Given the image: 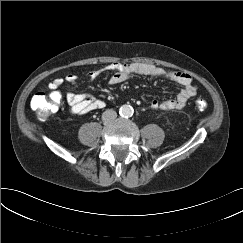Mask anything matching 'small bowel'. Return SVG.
<instances>
[{"label": "small bowel", "mask_w": 243, "mask_h": 243, "mask_svg": "<svg viewBox=\"0 0 243 243\" xmlns=\"http://www.w3.org/2000/svg\"><path fill=\"white\" fill-rule=\"evenodd\" d=\"M108 69L113 71L109 78L110 85L120 84L128 80L131 76L141 77H164L170 79L182 86L181 91L175 98L172 99H154L150 106L153 109L160 110H175L183 108L187 101L197 93V86L193 78L184 72L168 71L154 64L126 62L112 63ZM101 73V70H93L87 74L89 80L96 79ZM78 80L77 75L69 74L64 78H56L49 84L50 92H56L64 84L68 83L73 86ZM59 92V91H58ZM67 109L70 114L75 116L85 115L94 110L102 109L106 103L102 99L95 98L88 93H75L70 90L66 94Z\"/></svg>", "instance_id": "small-bowel-1"}]
</instances>
